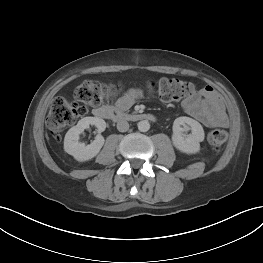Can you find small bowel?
<instances>
[{
    "label": "small bowel",
    "instance_id": "c3829d8e",
    "mask_svg": "<svg viewBox=\"0 0 263 263\" xmlns=\"http://www.w3.org/2000/svg\"><path fill=\"white\" fill-rule=\"evenodd\" d=\"M142 95L140 89L128 90L119 100L118 108H130ZM185 112L207 127H226L228 117L218 93L207 85L182 102Z\"/></svg>",
    "mask_w": 263,
    "mask_h": 263
}]
</instances>
